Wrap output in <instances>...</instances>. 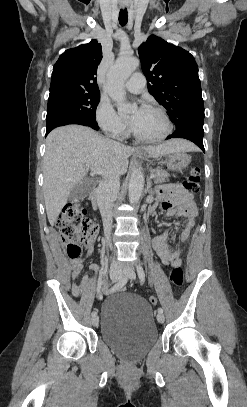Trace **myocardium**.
I'll use <instances>...</instances> for the list:
<instances>
[{
    "instance_id": "myocardium-1",
    "label": "myocardium",
    "mask_w": 247,
    "mask_h": 407,
    "mask_svg": "<svg viewBox=\"0 0 247 407\" xmlns=\"http://www.w3.org/2000/svg\"><path fill=\"white\" fill-rule=\"evenodd\" d=\"M144 108L158 112L165 121L166 130L164 131V133L161 136H159L157 138H143L140 135H138V133L135 131V129L133 128V126L131 124L129 127L131 135L135 138L136 141L143 143V144H156V143L164 141L171 134V132L173 130V123H172L168 113L166 112V110L164 108H162L161 106H158V105H147Z\"/></svg>"
}]
</instances>
